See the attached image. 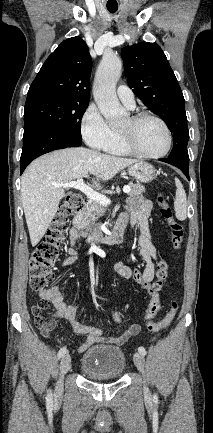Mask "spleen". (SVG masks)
I'll return each instance as SVG.
<instances>
[{
    "label": "spleen",
    "instance_id": "obj_1",
    "mask_svg": "<svg viewBox=\"0 0 213 433\" xmlns=\"http://www.w3.org/2000/svg\"><path fill=\"white\" fill-rule=\"evenodd\" d=\"M176 184V195H175V213L176 218L180 221H183L187 217V199L186 193L183 188L182 183L179 179L175 178Z\"/></svg>",
    "mask_w": 213,
    "mask_h": 433
}]
</instances>
